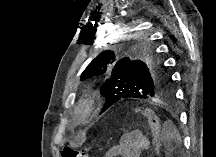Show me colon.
<instances>
[{
  "label": "colon",
  "instance_id": "1",
  "mask_svg": "<svg viewBox=\"0 0 216 157\" xmlns=\"http://www.w3.org/2000/svg\"><path fill=\"white\" fill-rule=\"evenodd\" d=\"M140 114L146 119L153 134H158L160 123L157 115L150 109L140 111ZM63 157H87V151L77 150L72 147H65L62 152Z\"/></svg>",
  "mask_w": 216,
  "mask_h": 157
}]
</instances>
